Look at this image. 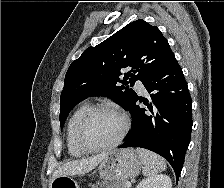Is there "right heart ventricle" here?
<instances>
[{
	"label": "right heart ventricle",
	"mask_w": 224,
	"mask_h": 188,
	"mask_svg": "<svg viewBox=\"0 0 224 188\" xmlns=\"http://www.w3.org/2000/svg\"><path fill=\"white\" fill-rule=\"evenodd\" d=\"M90 107L89 103H82L69 118L66 130V143L68 152L72 157H81L86 153L77 144L75 133L79 120Z\"/></svg>",
	"instance_id": "obj_1"
}]
</instances>
